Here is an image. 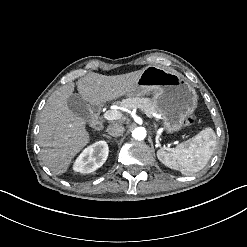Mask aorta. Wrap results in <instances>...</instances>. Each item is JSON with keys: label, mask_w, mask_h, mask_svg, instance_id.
Returning <instances> with one entry per match:
<instances>
[{"label": "aorta", "mask_w": 247, "mask_h": 247, "mask_svg": "<svg viewBox=\"0 0 247 247\" xmlns=\"http://www.w3.org/2000/svg\"><path fill=\"white\" fill-rule=\"evenodd\" d=\"M132 137L138 141L143 140L146 137V129L144 127H136L132 131Z\"/></svg>", "instance_id": "aorta-1"}]
</instances>
